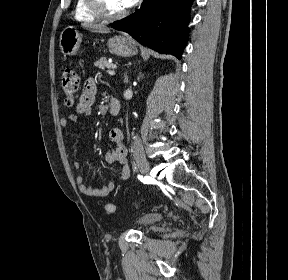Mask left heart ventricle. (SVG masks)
Wrapping results in <instances>:
<instances>
[{"label": "left heart ventricle", "instance_id": "b2bd125f", "mask_svg": "<svg viewBox=\"0 0 288 280\" xmlns=\"http://www.w3.org/2000/svg\"><path fill=\"white\" fill-rule=\"evenodd\" d=\"M104 7L109 13H118L124 10L121 0H102Z\"/></svg>", "mask_w": 288, "mask_h": 280}]
</instances>
